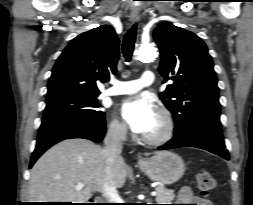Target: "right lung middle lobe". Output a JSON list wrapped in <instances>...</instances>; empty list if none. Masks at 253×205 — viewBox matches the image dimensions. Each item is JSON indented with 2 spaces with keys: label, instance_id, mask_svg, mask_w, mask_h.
<instances>
[{
  "label": "right lung middle lobe",
  "instance_id": "right-lung-middle-lobe-1",
  "mask_svg": "<svg viewBox=\"0 0 253 205\" xmlns=\"http://www.w3.org/2000/svg\"><path fill=\"white\" fill-rule=\"evenodd\" d=\"M98 95L68 96L47 101L43 118L71 117L85 120H102L104 112L98 110Z\"/></svg>",
  "mask_w": 253,
  "mask_h": 205
}]
</instances>
